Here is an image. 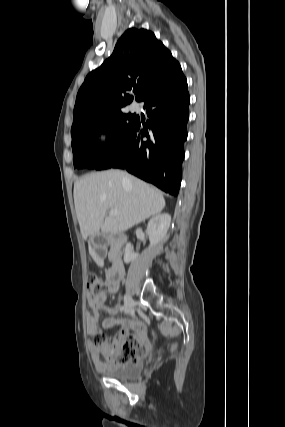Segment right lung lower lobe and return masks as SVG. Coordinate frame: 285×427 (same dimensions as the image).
I'll return each instance as SVG.
<instances>
[{"label": "right lung lower lobe", "instance_id": "obj_1", "mask_svg": "<svg viewBox=\"0 0 285 427\" xmlns=\"http://www.w3.org/2000/svg\"><path fill=\"white\" fill-rule=\"evenodd\" d=\"M139 101L149 120L139 117L119 148L94 169H126L177 196L184 159L190 97L181 67L149 87Z\"/></svg>", "mask_w": 285, "mask_h": 427}]
</instances>
